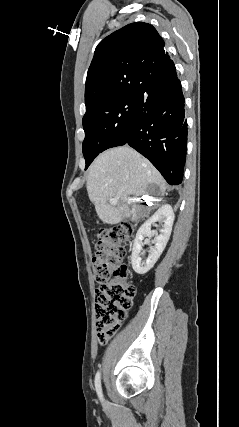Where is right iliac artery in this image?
<instances>
[{
	"label": "right iliac artery",
	"mask_w": 239,
	"mask_h": 427,
	"mask_svg": "<svg viewBox=\"0 0 239 427\" xmlns=\"http://www.w3.org/2000/svg\"><path fill=\"white\" fill-rule=\"evenodd\" d=\"M95 388H96V392L98 394L99 399L103 401L102 388H101V376L99 371L96 373V376H95Z\"/></svg>",
	"instance_id": "1"
}]
</instances>
